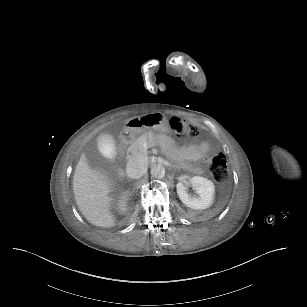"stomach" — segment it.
Wrapping results in <instances>:
<instances>
[{"label":"stomach","mask_w":307,"mask_h":307,"mask_svg":"<svg viewBox=\"0 0 307 307\" xmlns=\"http://www.w3.org/2000/svg\"><path fill=\"white\" fill-rule=\"evenodd\" d=\"M128 127L135 133H141L149 129L164 133L170 132L169 122L160 113L148 114L141 117H135L129 120Z\"/></svg>","instance_id":"stomach-1"}]
</instances>
